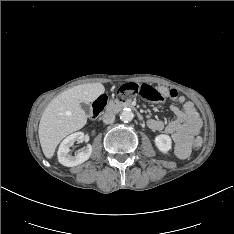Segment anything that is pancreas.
<instances>
[{
	"instance_id": "cf45deb5",
	"label": "pancreas",
	"mask_w": 234,
	"mask_h": 234,
	"mask_svg": "<svg viewBox=\"0 0 234 234\" xmlns=\"http://www.w3.org/2000/svg\"><path fill=\"white\" fill-rule=\"evenodd\" d=\"M114 106V103H110V107H113Z\"/></svg>"
}]
</instances>
